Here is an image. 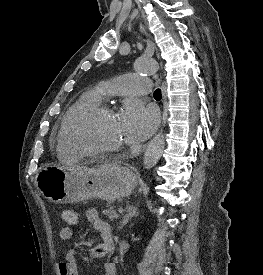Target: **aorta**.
<instances>
[{
    "label": "aorta",
    "mask_w": 263,
    "mask_h": 275,
    "mask_svg": "<svg viewBox=\"0 0 263 275\" xmlns=\"http://www.w3.org/2000/svg\"><path fill=\"white\" fill-rule=\"evenodd\" d=\"M135 69L139 73L154 74L158 71V64L152 59H138L135 62ZM164 147L165 136L162 133L156 134L149 142L144 153L143 165L145 169H151L157 164Z\"/></svg>",
    "instance_id": "762f6f07"
}]
</instances>
